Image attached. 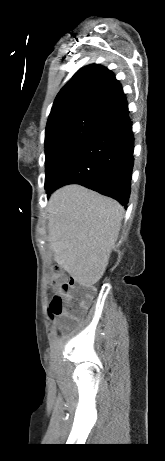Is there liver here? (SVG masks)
I'll return each mask as SVG.
<instances>
[{"label": "liver", "mask_w": 165, "mask_h": 461, "mask_svg": "<svg viewBox=\"0 0 165 461\" xmlns=\"http://www.w3.org/2000/svg\"><path fill=\"white\" fill-rule=\"evenodd\" d=\"M48 212L54 260L81 285L97 283L115 248L124 208L83 186L68 185L51 195Z\"/></svg>", "instance_id": "liver-1"}]
</instances>
